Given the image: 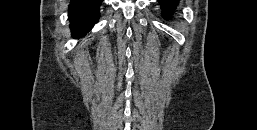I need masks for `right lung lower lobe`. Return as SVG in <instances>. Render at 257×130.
<instances>
[{
    "instance_id": "obj_1",
    "label": "right lung lower lobe",
    "mask_w": 257,
    "mask_h": 130,
    "mask_svg": "<svg viewBox=\"0 0 257 130\" xmlns=\"http://www.w3.org/2000/svg\"><path fill=\"white\" fill-rule=\"evenodd\" d=\"M101 3L102 0H71L69 20L74 38L82 37L98 22Z\"/></svg>"
}]
</instances>
